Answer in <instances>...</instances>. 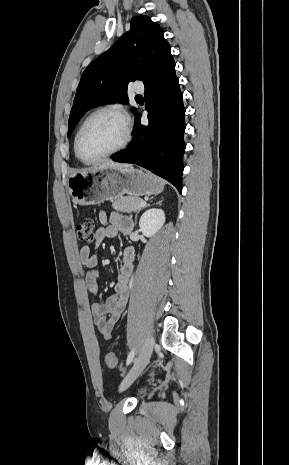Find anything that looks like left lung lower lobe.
<instances>
[{"label":"left lung lower lobe","mask_w":289,"mask_h":465,"mask_svg":"<svg viewBox=\"0 0 289 465\" xmlns=\"http://www.w3.org/2000/svg\"><path fill=\"white\" fill-rule=\"evenodd\" d=\"M175 69L164 78L145 86L149 125L136 113L131 146L115 153L116 162L135 163L168 180L181 193L185 144V108Z\"/></svg>","instance_id":"0a47b994"}]
</instances>
